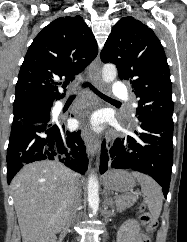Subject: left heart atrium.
<instances>
[{
    "label": "left heart atrium",
    "mask_w": 187,
    "mask_h": 242,
    "mask_svg": "<svg viewBox=\"0 0 187 242\" xmlns=\"http://www.w3.org/2000/svg\"><path fill=\"white\" fill-rule=\"evenodd\" d=\"M90 125L93 127V128H100V125L102 123V118L100 115L96 114V115H93L90 119Z\"/></svg>",
    "instance_id": "left-heart-atrium-1"
}]
</instances>
